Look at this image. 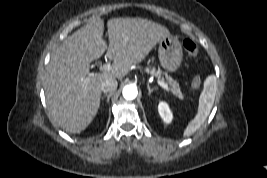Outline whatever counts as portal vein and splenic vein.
<instances>
[{"label": "portal vein and splenic vein", "mask_w": 267, "mask_h": 178, "mask_svg": "<svg viewBox=\"0 0 267 178\" xmlns=\"http://www.w3.org/2000/svg\"><path fill=\"white\" fill-rule=\"evenodd\" d=\"M110 70H111V65H110V64H104V65H101V66H100V71L105 72V71H110ZM157 83H158L163 89L169 91V87H168V85H167L165 82H163V81H161V80L158 79V80H157Z\"/></svg>", "instance_id": "18ae733b"}]
</instances>
